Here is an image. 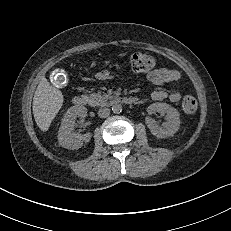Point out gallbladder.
<instances>
[{"mask_svg":"<svg viewBox=\"0 0 231 231\" xmlns=\"http://www.w3.org/2000/svg\"><path fill=\"white\" fill-rule=\"evenodd\" d=\"M50 80L56 88H63L68 83V76L62 68H55L50 73Z\"/></svg>","mask_w":231,"mask_h":231,"instance_id":"1","label":"gallbladder"}]
</instances>
